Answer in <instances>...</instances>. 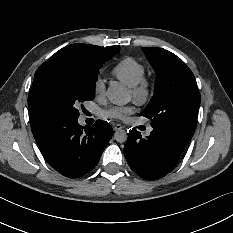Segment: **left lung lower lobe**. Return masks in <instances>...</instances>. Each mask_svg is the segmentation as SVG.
Instances as JSON below:
<instances>
[{"mask_svg":"<svg viewBox=\"0 0 233 233\" xmlns=\"http://www.w3.org/2000/svg\"><path fill=\"white\" fill-rule=\"evenodd\" d=\"M191 137L192 133L187 131L153 129L143 138L133 128L129 131L124 155L130 168L139 176L157 180L174 168Z\"/></svg>","mask_w":233,"mask_h":233,"instance_id":"0a47b994","label":"left lung lower lobe"}]
</instances>
